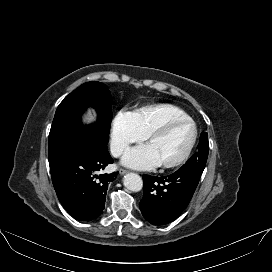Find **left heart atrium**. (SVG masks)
Returning a JSON list of instances; mask_svg holds the SVG:
<instances>
[{"label":"left heart atrium","instance_id":"obj_1","mask_svg":"<svg viewBox=\"0 0 272 272\" xmlns=\"http://www.w3.org/2000/svg\"><path fill=\"white\" fill-rule=\"evenodd\" d=\"M122 163L134 169H148L158 165L159 161L152 148L146 144L129 150Z\"/></svg>","mask_w":272,"mask_h":272}]
</instances>
